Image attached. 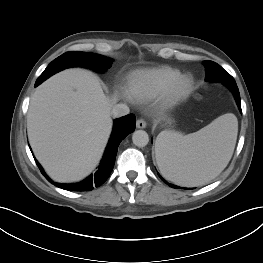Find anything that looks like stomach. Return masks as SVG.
<instances>
[{
    "instance_id": "0dacf381",
    "label": "stomach",
    "mask_w": 263,
    "mask_h": 263,
    "mask_svg": "<svg viewBox=\"0 0 263 263\" xmlns=\"http://www.w3.org/2000/svg\"><path fill=\"white\" fill-rule=\"evenodd\" d=\"M164 122H165V124H171V123H172V120L169 119V118H166V119L164 120Z\"/></svg>"
}]
</instances>
